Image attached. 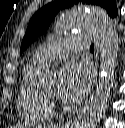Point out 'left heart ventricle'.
Here are the masks:
<instances>
[{
    "mask_svg": "<svg viewBox=\"0 0 125 128\" xmlns=\"http://www.w3.org/2000/svg\"><path fill=\"white\" fill-rule=\"evenodd\" d=\"M56 90H57L56 85H53L52 87H50L49 89H47V90L45 91V93L54 96V95L56 94Z\"/></svg>",
    "mask_w": 125,
    "mask_h": 128,
    "instance_id": "1",
    "label": "left heart ventricle"
}]
</instances>
